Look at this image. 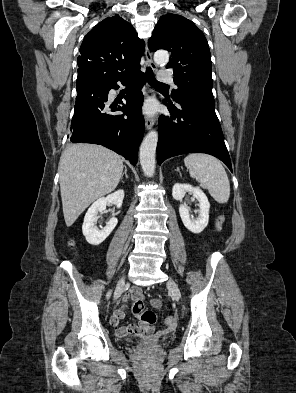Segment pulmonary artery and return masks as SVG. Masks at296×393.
<instances>
[{"label":"pulmonary artery","instance_id":"obj_1","mask_svg":"<svg viewBox=\"0 0 296 393\" xmlns=\"http://www.w3.org/2000/svg\"><path fill=\"white\" fill-rule=\"evenodd\" d=\"M159 81L161 83H165V84L169 83V84L173 85V87H176L172 76L166 72H161L160 77H159Z\"/></svg>","mask_w":296,"mask_h":393}]
</instances>
